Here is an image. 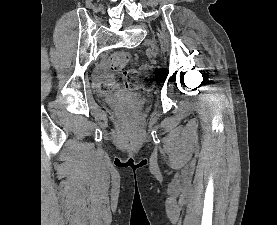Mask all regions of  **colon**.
Wrapping results in <instances>:
<instances>
[{"label": "colon", "mask_w": 277, "mask_h": 225, "mask_svg": "<svg viewBox=\"0 0 277 225\" xmlns=\"http://www.w3.org/2000/svg\"><path fill=\"white\" fill-rule=\"evenodd\" d=\"M133 60V55L128 51H118L110 58L112 74L103 79L100 89L106 93L132 91L139 87L150 90L153 87L152 73L126 70Z\"/></svg>", "instance_id": "colon-1"}]
</instances>
